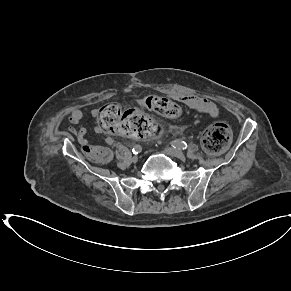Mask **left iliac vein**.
Here are the masks:
<instances>
[{"label": "left iliac vein", "mask_w": 291, "mask_h": 291, "mask_svg": "<svg viewBox=\"0 0 291 291\" xmlns=\"http://www.w3.org/2000/svg\"><path fill=\"white\" fill-rule=\"evenodd\" d=\"M163 152L166 155H169V156H172V157H176V158H179V159H184L185 158L184 153L181 150L177 149V148L166 147V148H164Z\"/></svg>", "instance_id": "left-iliac-vein-1"}]
</instances>
